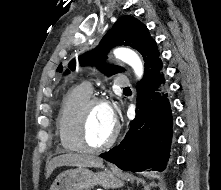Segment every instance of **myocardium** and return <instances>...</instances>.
Here are the masks:
<instances>
[{"label":"myocardium","mask_w":221,"mask_h":190,"mask_svg":"<svg viewBox=\"0 0 221 190\" xmlns=\"http://www.w3.org/2000/svg\"><path fill=\"white\" fill-rule=\"evenodd\" d=\"M96 105H106L109 107V102L102 97H90L80 106L74 119L73 133L81 151L99 152L108 149L116 142L119 135V127L115 124L114 131L107 141L99 145H91L88 142L86 136L88 115Z\"/></svg>","instance_id":"myocardium-1"}]
</instances>
